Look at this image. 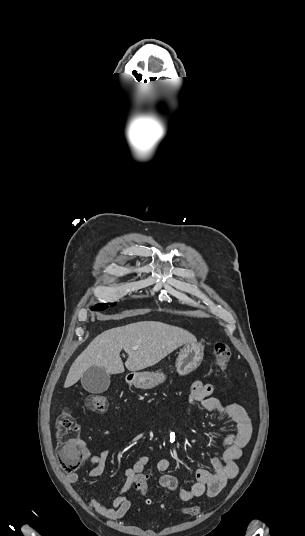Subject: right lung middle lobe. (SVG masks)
Returning <instances> with one entry per match:
<instances>
[{
	"mask_svg": "<svg viewBox=\"0 0 305 536\" xmlns=\"http://www.w3.org/2000/svg\"><path fill=\"white\" fill-rule=\"evenodd\" d=\"M114 304L115 303L110 304V305H114ZM107 307H108V303H106V304H97V305L91 307V309L93 311H102V310H105Z\"/></svg>",
	"mask_w": 305,
	"mask_h": 536,
	"instance_id": "right-lung-middle-lobe-1",
	"label": "right lung middle lobe"
}]
</instances>
